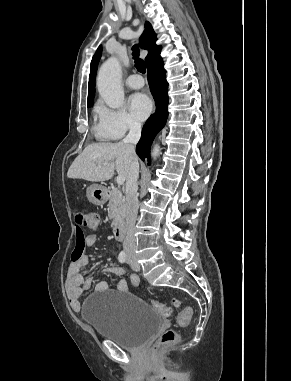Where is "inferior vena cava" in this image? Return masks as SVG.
<instances>
[{
	"label": "inferior vena cava",
	"instance_id": "1",
	"mask_svg": "<svg viewBox=\"0 0 291 381\" xmlns=\"http://www.w3.org/2000/svg\"><path fill=\"white\" fill-rule=\"evenodd\" d=\"M140 136L141 124L135 121L131 122L129 126V133L123 140V143L130 152L131 158L130 169L126 179V237L123 242L124 251L128 255L134 254L135 252L134 227L138 213L137 179L139 176V163L135 152V145L138 143Z\"/></svg>",
	"mask_w": 291,
	"mask_h": 381
}]
</instances>
